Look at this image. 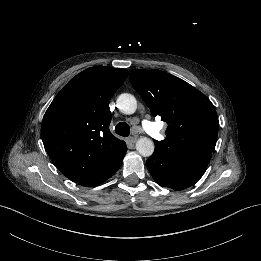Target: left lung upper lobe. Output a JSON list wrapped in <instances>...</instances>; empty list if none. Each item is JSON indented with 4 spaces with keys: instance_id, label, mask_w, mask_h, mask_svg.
Returning <instances> with one entry per match:
<instances>
[{
    "instance_id": "left-lung-upper-lobe-1",
    "label": "left lung upper lobe",
    "mask_w": 261,
    "mask_h": 261,
    "mask_svg": "<svg viewBox=\"0 0 261 261\" xmlns=\"http://www.w3.org/2000/svg\"><path fill=\"white\" fill-rule=\"evenodd\" d=\"M130 80L153 116L168 124L155 151L169 158L208 165L219 122L211 101L184 80L161 70L133 69Z\"/></svg>"
}]
</instances>
